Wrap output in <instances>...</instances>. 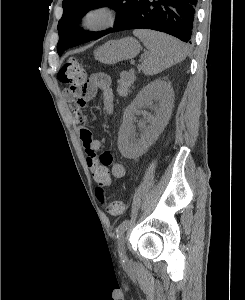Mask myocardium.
I'll return each instance as SVG.
<instances>
[{
  "label": "myocardium",
  "mask_w": 245,
  "mask_h": 300,
  "mask_svg": "<svg viewBox=\"0 0 245 300\" xmlns=\"http://www.w3.org/2000/svg\"><path fill=\"white\" fill-rule=\"evenodd\" d=\"M117 16V11L108 4L94 5L84 12L82 25L90 31L104 30L116 22ZM93 18H99V21L93 23Z\"/></svg>",
  "instance_id": "f54148a6"
}]
</instances>
